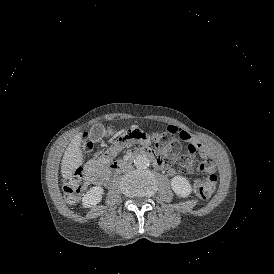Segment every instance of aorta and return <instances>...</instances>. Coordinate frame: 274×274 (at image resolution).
<instances>
[{"instance_id": "1", "label": "aorta", "mask_w": 274, "mask_h": 274, "mask_svg": "<svg viewBox=\"0 0 274 274\" xmlns=\"http://www.w3.org/2000/svg\"><path fill=\"white\" fill-rule=\"evenodd\" d=\"M134 165L139 169H146L150 165V160L148 157L139 155L134 159Z\"/></svg>"}]
</instances>
